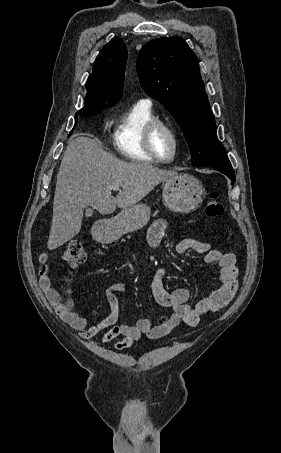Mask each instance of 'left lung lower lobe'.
I'll return each mask as SVG.
<instances>
[{"label":"left lung lower lobe","instance_id":"left-lung-lower-lobe-1","mask_svg":"<svg viewBox=\"0 0 281 453\" xmlns=\"http://www.w3.org/2000/svg\"><path fill=\"white\" fill-rule=\"evenodd\" d=\"M215 168L216 170L222 172L223 174L227 175L231 179V183L233 184L235 182V174L233 171L232 166L230 167H218V166H211Z\"/></svg>","mask_w":281,"mask_h":453}]
</instances>
